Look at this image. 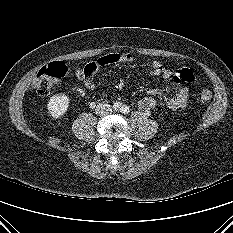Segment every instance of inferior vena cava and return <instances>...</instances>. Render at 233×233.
Instances as JSON below:
<instances>
[{
    "label": "inferior vena cava",
    "instance_id": "602c4592",
    "mask_svg": "<svg viewBox=\"0 0 233 233\" xmlns=\"http://www.w3.org/2000/svg\"><path fill=\"white\" fill-rule=\"evenodd\" d=\"M96 114L101 116V117H104V116H107L109 114H111L112 112V108L109 104L107 103H99L97 106H96Z\"/></svg>",
    "mask_w": 233,
    "mask_h": 233
}]
</instances>
